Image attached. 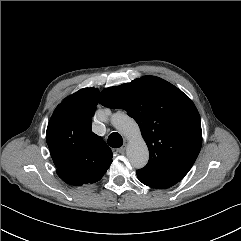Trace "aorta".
Listing matches in <instances>:
<instances>
[{
  "label": "aorta",
  "instance_id": "obj_1",
  "mask_svg": "<svg viewBox=\"0 0 241 241\" xmlns=\"http://www.w3.org/2000/svg\"><path fill=\"white\" fill-rule=\"evenodd\" d=\"M111 123L129 140L127 157L131 165L143 168L148 162L149 151L136 121L127 114L116 113L111 117Z\"/></svg>",
  "mask_w": 241,
  "mask_h": 241
}]
</instances>
